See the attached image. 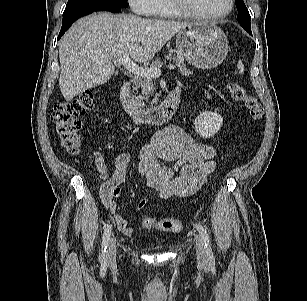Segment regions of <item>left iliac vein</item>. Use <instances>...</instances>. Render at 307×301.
<instances>
[{
    "mask_svg": "<svg viewBox=\"0 0 307 301\" xmlns=\"http://www.w3.org/2000/svg\"><path fill=\"white\" fill-rule=\"evenodd\" d=\"M195 247H196V254L198 261L201 264H206L207 263L206 248L203 239L198 234H195Z\"/></svg>",
    "mask_w": 307,
    "mask_h": 301,
    "instance_id": "obj_1",
    "label": "left iliac vein"
}]
</instances>
